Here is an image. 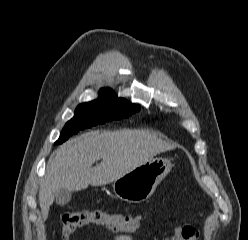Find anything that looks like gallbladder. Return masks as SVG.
Returning <instances> with one entry per match:
<instances>
[{
  "label": "gallbladder",
  "mask_w": 248,
  "mask_h": 240,
  "mask_svg": "<svg viewBox=\"0 0 248 240\" xmlns=\"http://www.w3.org/2000/svg\"><path fill=\"white\" fill-rule=\"evenodd\" d=\"M71 197L72 192L67 189H60L54 194L55 201L60 206L67 204L71 200Z\"/></svg>",
  "instance_id": "obj_1"
}]
</instances>
